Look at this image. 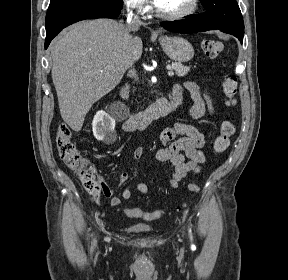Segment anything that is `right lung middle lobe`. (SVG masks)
Masks as SVG:
<instances>
[{
	"label": "right lung middle lobe",
	"mask_w": 288,
	"mask_h": 280,
	"mask_svg": "<svg viewBox=\"0 0 288 280\" xmlns=\"http://www.w3.org/2000/svg\"><path fill=\"white\" fill-rule=\"evenodd\" d=\"M62 1H64V0H51L49 6H52V5L57 4L59 2H62ZM100 1L105 2L107 4H110L114 7H119V8L123 7V0H100Z\"/></svg>",
	"instance_id": "1"
}]
</instances>
